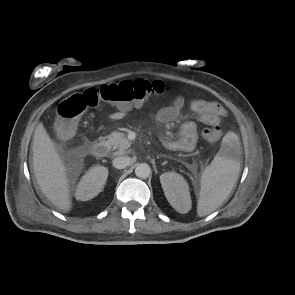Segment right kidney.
I'll return each mask as SVG.
<instances>
[{
    "mask_svg": "<svg viewBox=\"0 0 295 295\" xmlns=\"http://www.w3.org/2000/svg\"><path fill=\"white\" fill-rule=\"evenodd\" d=\"M108 177V169L94 166L81 178L75 192L78 200L87 201L97 196L103 189Z\"/></svg>",
    "mask_w": 295,
    "mask_h": 295,
    "instance_id": "right-kidney-1",
    "label": "right kidney"
}]
</instances>
